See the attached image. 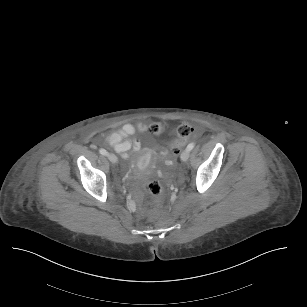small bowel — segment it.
<instances>
[{
    "mask_svg": "<svg viewBox=\"0 0 307 307\" xmlns=\"http://www.w3.org/2000/svg\"><path fill=\"white\" fill-rule=\"evenodd\" d=\"M146 124L138 123L136 126L131 123H125L119 130L111 132L106 141L115 149L116 152L127 157V153L133 149L138 150L140 143L136 140L130 139L136 130L139 132L146 131Z\"/></svg>",
    "mask_w": 307,
    "mask_h": 307,
    "instance_id": "1",
    "label": "small bowel"
}]
</instances>
